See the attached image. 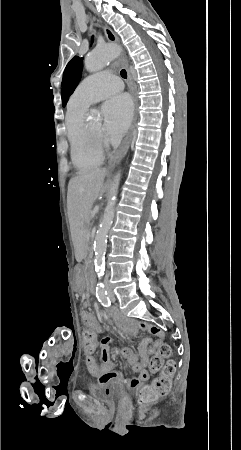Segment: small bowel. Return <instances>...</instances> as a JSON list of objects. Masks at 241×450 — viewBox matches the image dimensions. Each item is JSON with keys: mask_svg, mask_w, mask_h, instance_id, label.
<instances>
[{"mask_svg": "<svg viewBox=\"0 0 241 450\" xmlns=\"http://www.w3.org/2000/svg\"><path fill=\"white\" fill-rule=\"evenodd\" d=\"M82 316L86 328L83 333H95L99 330V323L91 314L89 309L82 311ZM121 332L127 337H134L140 331H148L157 337L156 340L146 337L139 346L138 352L131 347H123L118 350L126 363L137 373L136 377H125L114 370L115 363L110 353L112 340L110 337L102 339L101 343V363L98 364L95 356H85V364L89 374L97 378L99 385L109 390L110 385H124L128 388H138L143 382L150 378V371L147 369L150 359L156 354V350L162 344L164 333L161 328L150 325L144 321L130 320L121 324Z\"/></svg>", "mask_w": 241, "mask_h": 450, "instance_id": "small-bowel-1", "label": "small bowel"}]
</instances>
